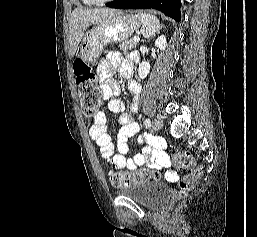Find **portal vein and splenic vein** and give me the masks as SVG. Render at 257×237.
Wrapping results in <instances>:
<instances>
[{
  "mask_svg": "<svg viewBox=\"0 0 257 237\" xmlns=\"http://www.w3.org/2000/svg\"><path fill=\"white\" fill-rule=\"evenodd\" d=\"M134 40H135V42L138 43L140 41V38L139 37H135Z\"/></svg>",
  "mask_w": 257,
  "mask_h": 237,
  "instance_id": "obj_1",
  "label": "portal vein and splenic vein"
}]
</instances>
